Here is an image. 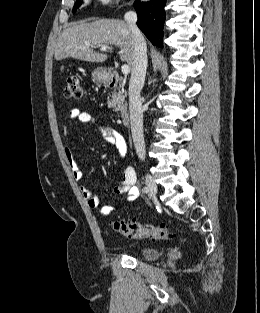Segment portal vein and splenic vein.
I'll list each match as a JSON object with an SVG mask.
<instances>
[{"label": "portal vein and splenic vein", "instance_id": "portal-vein-and-splenic-vein-1", "mask_svg": "<svg viewBox=\"0 0 260 313\" xmlns=\"http://www.w3.org/2000/svg\"><path fill=\"white\" fill-rule=\"evenodd\" d=\"M86 46L89 47V44H86ZM100 50L101 51H107V50H109V47L108 46H102V47H100ZM121 71L124 75H127L130 72L129 65H127V64L122 65Z\"/></svg>", "mask_w": 260, "mask_h": 313}]
</instances>
